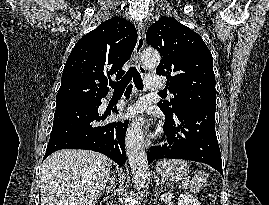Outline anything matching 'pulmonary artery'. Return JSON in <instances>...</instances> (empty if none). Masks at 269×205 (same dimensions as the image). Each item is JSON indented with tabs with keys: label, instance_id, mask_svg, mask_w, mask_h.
<instances>
[{
	"label": "pulmonary artery",
	"instance_id": "e3ab8cb5",
	"mask_svg": "<svg viewBox=\"0 0 269 205\" xmlns=\"http://www.w3.org/2000/svg\"><path fill=\"white\" fill-rule=\"evenodd\" d=\"M144 84L148 89L158 90L164 88L163 79L158 76L146 75L144 77Z\"/></svg>",
	"mask_w": 269,
	"mask_h": 205
}]
</instances>
